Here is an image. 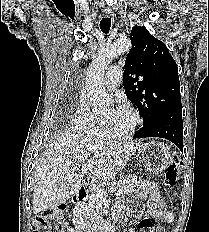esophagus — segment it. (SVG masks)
Returning a JSON list of instances; mask_svg holds the SVG:
<instances>
[{"label": "esophagus", "mask_w": 209, "mask_h": 232, "mask_svg": "<svg viewBox=\"0 0 209 232\" xmlns=\"http://www.w3.org/2000/svg\"><path fill=\"white\" fill-rule=\"evenodd\" d=\"M103 15L105 17H112L114 14H113V12L110 9H104L103 10Z\"/></svg>", "instance_id": "esophagus-1"}]
</instances>
